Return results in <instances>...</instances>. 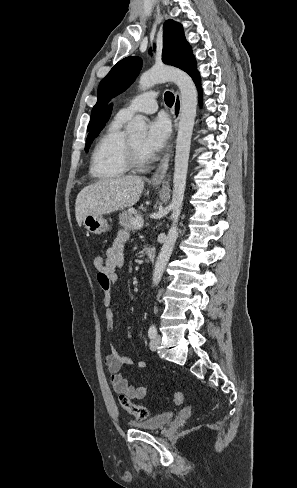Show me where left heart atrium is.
<instances>
[{
	"label": "left heart atrium",
	"instance_id": "1",
	"mask_svg": "<svg viewBox=\"0 0 297 488\" xmlns=\"http://www.w3.org/2000/svg\"><path fill=\"white\" fill-rule=\"evenodd\" d=\"M170 124L165 116L155 117L149 124L148 132L142 142V151L147 157L153 156L166 143L170 134Z\"/></svg>",
	"mask_w": 297,
	"mask_h": 488
}]
</instances>
